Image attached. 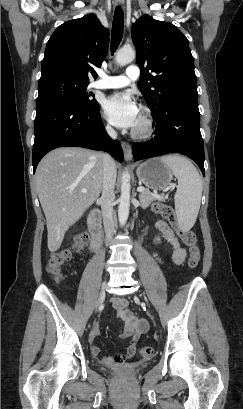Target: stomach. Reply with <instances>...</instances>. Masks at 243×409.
<instances>
[{"label": "stomach", "mask_w": 243, "mask_h": 409, "mask_svg": "<svg viewBox=\"0 0 243 409\" xmlns=\"http://www.w3.org/2000/svg\"><path fill=\"white\" fill-rule=\"evenodd\" d=\"M139 180L152 190H163L172 180V171L160 158L148 159L137 167Z\"/></svg>", "instance_id": "obj_1"}]
</instances>
